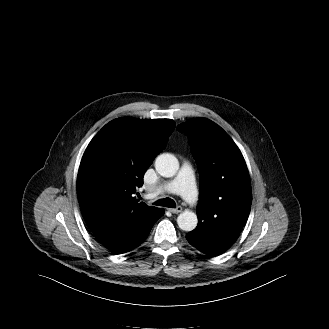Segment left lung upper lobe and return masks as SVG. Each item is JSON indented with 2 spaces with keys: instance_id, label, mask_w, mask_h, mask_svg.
<instances>
[{
  "instance_id": "obj_1",
  "label": "left lung upper lobe",
  "mask_w": 329,
  "mask_h": 329,
  "mask_svg": "<svg viewBox=\"0 0 329 329\" xmlns=\"http://www.w3.org/2000/svg\"><path fill=\"white\" fill-rule=\"evenodd\" d=\"M177 129L189 136L199 169L197 228L206 233H222L228 223L244 226L252 194L248 169L237 145L208 119H191Z\"/></svg>"
}]
</instances>
